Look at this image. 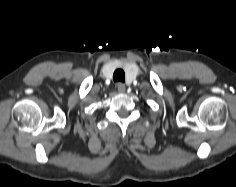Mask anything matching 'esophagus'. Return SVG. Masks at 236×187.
<instances>
[{
    "label": "esophagus",
    "mask_w": 236,
    "mask_h": 187,
    "mask_svg": "<svg viewBox=\"0 0 236 187\" xmlns=\"http://www.w3.org/2000/svg\"><path fill=\"white\" fill-rule=\"evenodd\" d=\"M117 88H118V91L121 93L125 92V89H126L125 85L121 82L117 83Z\"/></svg>",
    "instance_id": "34e87169"
}]
</instances>
